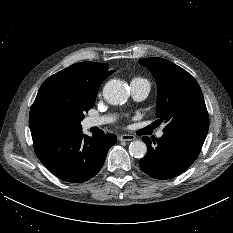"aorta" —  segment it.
Instances as JSON below:
<instances>
[{"label":"aorta","instance_id":"762f6f07","mask_svg":"<svg viewBox=\"0 0 233 233\" xmlns=\"http://www.w3.org/2000/svg\"><path fill=\"white\" fill-rule=\"evenodd\" d=\"M129 89L118 80L108 81L103 88L104 99L112 104L119 105L127 101ZM147 152V146L143 141L135 140L129 145V153L135 158H142Z\"/></svg>","mask_w":233,"mask_h":233}]
</instances>
